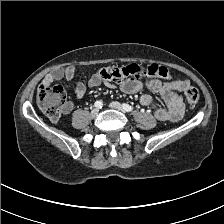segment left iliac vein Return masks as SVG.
<instances>
[{
  "mask_svg": "<svg viewBox=\"0 0 224 224\" xmlns=\"http://www.w3.org/2000/svg\"><path fill=\"white\" fill-rule=\"evenodd\" d=\"M109 107L113 109L122 110V105L117 101L110 103Z\"/></svg>",
  "mask_w": 224,
  "mask_h": 224,
  "instance_id": "1",
  "label": "left iliac vein"
}]
</instances>
